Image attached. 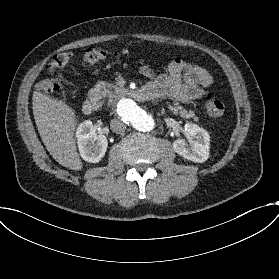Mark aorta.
Listing matches in <instances>:
<instances>
[{
  "mask_svg": "<svg viewBox=\"0 0 279 279\" xmlns=\"http://www.w3.org/2000/svg\"><path fill=\"white\" fill-rule=\"evenodd\" d=\"M116 112L139 131H151L155 126L153 118L130 98H121L116 104Z\"/></svg>",
  "mask_w": 279,
  "mask_h": 279,
  "instance_id": "obj_1",
  "label": "aorta"
}]
</instances>
